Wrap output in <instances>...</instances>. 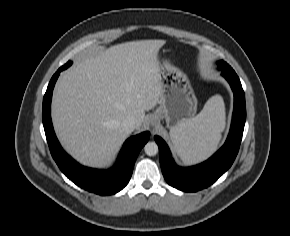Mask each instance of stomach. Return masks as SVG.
Here are the masks:
<instances>
[{
    "label": "stomach",
    "instance_id": "stomach-1",
    "mask_svg": "<svg viewBox=\"0 0 290 236\" xmlns=\"http://www.w3.org/2000/svg\"><path fill=\"white\" fill-rule=\"evenodd\" d=\"M161 96L159 107L153 114L156 121L166 120L172 129L192 119L197 110V98L187 75L168 61H159Z\"/></svg>",
    "mask_w": 290,
    "mask_h": 236
}]
</instances>
